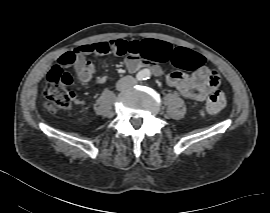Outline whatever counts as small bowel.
I'll use <instances>...</instances> for the list:
<instances>
[{"mask_svg":"<svg viewBox=\"0 0 270 213\" xmlns=\"http://www.w3.org/2000/svg\"><path fill=\"white\" fill-rule=\"evenodd\" d=\"M141 46H152L147 58L141 60L135 57H127L125 59L126 67L135 72L141 67H150L156 76L161 74L158 62H173L178 68L185 67L189 62L190 51L186 48H175L171 44L150 39L139 42ZM105 42L98 43H82L77 47V55L73 64L74 72L77 79L83 84L93 82L96 65L93 61L87 60L89 55H103ZM107 77H100L97 82L104 84ZM167 84L179 91L187 98L201 101L208 93L215 90L218 86V75L206 67L198 68L187 77L181 70H175L166 77Z\"/></svg>","mask_w":270,"mask_h":213,"instance_id":"c3829d8e","label":"small bowel"}]
</instances>
